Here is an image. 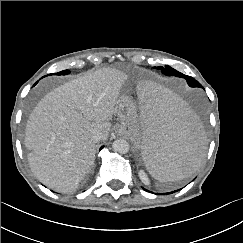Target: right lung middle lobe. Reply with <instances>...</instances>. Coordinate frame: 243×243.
<instances>
[{
    "instance_id": "dd1d6c3e",
    "label": "right lung middle lobe",
    "mask_w": 243,
    "mask_h": 243,
    "mask_svg": "<svg viewBox=\"0 0 243 243\" xmlns=\"http://www.w3.org/2000/svg\"><path fill=\"white\" fill-rule=\"evenodd\" d=\"M68 73H69L68 70H64V71H61V72H58V73H53V74H56V75H66Z\"/></svg>"
}]
</instances>
